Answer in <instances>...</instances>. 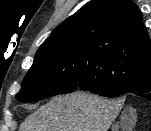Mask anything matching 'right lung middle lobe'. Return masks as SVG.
<instances>
[{
	"label": "right lung middle lobe",
	"mask_w": 151,
	"mask_h": 131,
	"mask_svg": "<svg viewBox=\"0 0 151 131\" xmlns=\"http://www.w3.org/2000/svg\"><path fill=\"white\" fill-rule=\"evenodd\" d=\"M97 68L95 59L75 43L62 42L38 49L16 99L30 102L70 93L85 81L105 85L106 81Z\"/></svg>",
	"instance_id": "dd1d6c3e"
}]
</instances>
